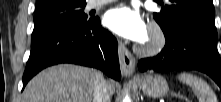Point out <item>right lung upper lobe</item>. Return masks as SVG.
<instances>
[{
  "mask_svg": "<svg viewBox=\"0 0 221 102\" xmlns=\"http://www.w3.org/2000/svg\"><path fill=\"white\" fill-rule=\"evenodd\" d=\"M47 0H36V7L41 6L43 3H45Z\"/></svg>",
  "mask_w": 221,
  "mask_h": 102,
  "instance_id": "obj_1",
  "label": "right lung upper lobe"
}]
</instances>
